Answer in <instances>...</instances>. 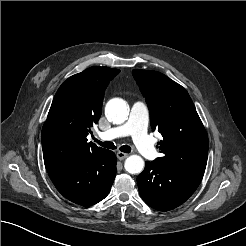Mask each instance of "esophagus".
Here are the masks:
<instances>
[{
	"label": "esophagus",
	"mask_w": 246,
	"mask_h": 246,
	"mask_svg": "<svg viewBox=\"0 0 246 246\" xmlns=\"http://www.w3.org/2000/svg\"><path fill=\"white\" fill-rule=\"evenodd\" d=\"M116 156H117V158H118L119 160H123V159H125V158L128 156V154H127V153H124V152H121V151H118V152L116 153Z\"/></svg>",
	"instance_id": "esophagus-1"
}]
</instances>
